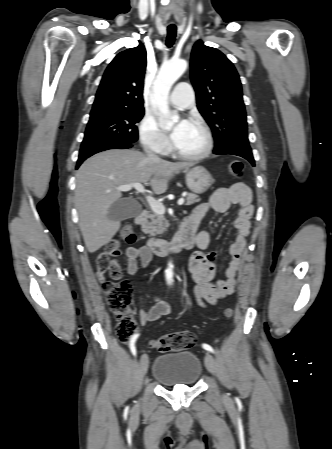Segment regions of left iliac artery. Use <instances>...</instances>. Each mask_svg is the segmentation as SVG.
Returning a JSON list of instances; mask_svg holds the SVG:
<instances>
[{
	"mask_svg": "<svg viewBox=\"0 0 332 449\" xmlns=\"http://www.w3.org/2000/svg\"><path fill=\"white\" fill-rule=\"evenodd\" d=\"M202 347H203L205 350L214 353V350H213V348H212L210 345H208V344H203Z\"/></svg>",
	"mask_w": 332,
	"mask_h": 449,
	"instance_id": "left-iliac-artery-1",
	"label": "left iliac artery"
}]
</instances>
